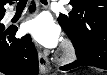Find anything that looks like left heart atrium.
<instances>
[{
  "instance_id": "1",
  "label": "left heart atrium",
  "mask_w": 107,
  "mask_h": 75,
  "mask_svg": "<svg viewBox=\"0 0 107 75\" xmlns=\"http://www.w3.org/2000/svg\"><path fill=\"white\" fill-rule=\"evenodd\" d=\"M24 30L36 42L48 48L56 47L60 40V29L47 14H40L28 20Z\"/></svg>"
}]
</instances>
